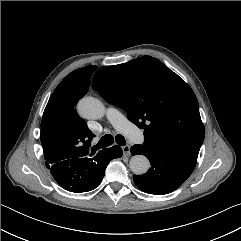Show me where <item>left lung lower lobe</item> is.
<instances>
[{"mask_svg": "<svg viewBox=\"0 0 241 241\" xmlns=\"http://www.w3.org/2000/svg\"><path fill=\"white\" fill-rule=\"evenodd\" d=\"M130 152L149 158L150 169L143 175L133 176L135 184L149 194L163 195L176 190L191 175L196 165L179 156L144 145H134Z\"/></svg>", "mask_w": 241, "mask_h": 241, "instance_id": "0a47b994", "label": "left lung lower lobe"}]
</instances>
